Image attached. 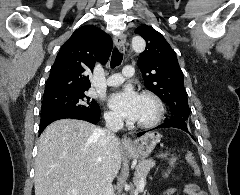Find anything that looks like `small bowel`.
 I'll list each match as a JSON object with an SVG mask.
<instances>
[{
	"label": "small bowel",
	"mask_w": 240,
	"mask_h": 195,
	"mask_svg": "<svg viewBox=\"0 0 240 195\" xmlns=\"http://www.w3.org/2000/svg\"><path fill=\"white\" fill-rule=\"evenodd\" d=\"M175 192H176L175 188H168L160 195H175ZM183 192H185L186 195H207L205 191L201 190L200 187L193 182L185 184Z\"/></svg>",
	"instance_id": "1"
}]
</instances>
